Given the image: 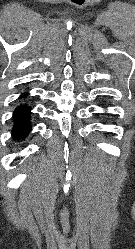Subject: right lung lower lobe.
<instances>
[{
  "instance_id": "right-lung-lower-lobe-1",
  "label": "right lung lower lobe",
  "mask_w": 135,
  "mask_h": 249,
  "mask_svg": "<svg viewBox=\"0 0 135 249\" xmlns=\"http://www.w3.org/2000/svg\"><path fill=\"white\" fill-rule=\"evenodd\" d=\"M28 93L24 92L20 98L17 107L14 110L12 122V139L15 142L25 140L32 129L31 115L32 106L24 100Z\"/></svg>"
}]
</instances>
